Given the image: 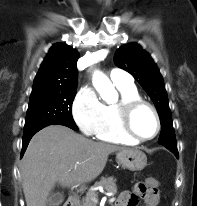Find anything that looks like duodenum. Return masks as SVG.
<instances>
[{"mask_svg": "<svg viewBox=\"0 0 197 206\" xmlns=\"http://www.w3.org/2000/svg\"><path fill=\"white\" fill-rule=\"evenodd\" d=\"M76 203H77L76 197L71 196L69 197V199L67 200L64 206H76Z\"/></svg>", "mask_w": 197, "mask_h": 206, "instance_id": "obj_1", "label": "duodenum"}]
</instances>
